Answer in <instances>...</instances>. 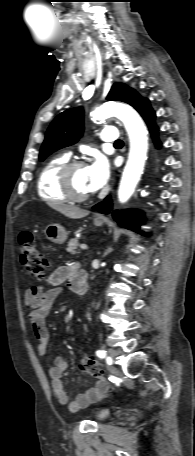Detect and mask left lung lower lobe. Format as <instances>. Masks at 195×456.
Listing matches in <instances>:
<instances>
[{"instance_id":"0a47b994","label":"left lung lower lobe","mask_w":195,"mask_h":456,"mask_svg":"<svg viewBox=\"0 0 195 456\" xmlns=\"http://www.w3.org/2000/svg\"><path fill=\"white\" fill-rule=\"evenodd\" d=\"M136 110L141 114L144 120L147 122L150 131L154 140L156 141L157 145L160 143L157 140V131L158 128L155 126L154 119L155 113L150 107L149 101L145 99L137 108ZM110 198H106L105 201L95 205L93 207L94 210H97L101 213L108 214L111 209V204L109 203ZM113 218L118 222V224L122 227L134 230L136 232H140L139 226L143 221V214L136 210H123L118 211L115 210L113 212Z\"/></svg>"}]
</instances>
